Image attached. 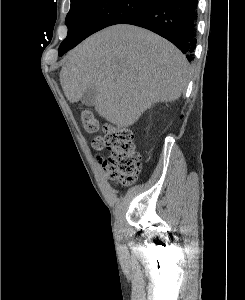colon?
<instances>
[{"instance_id":"1","label":"colon","mask_w":245,"mask_h":300,"mask_svg":"<svg viewBox=\"0 0 245 300\" xmlns=\"http://www.w3.org/2000/svg\"><path fill=\"white\" fill-rule=\"evenodd\" d=\"M84 129L90 134H96L99 129L98 120L90 113L82 114ZM103 135H96L92 140V148L100 151L110 150V156L103 160V166L108 176L123 186L133 184L140 173V155L135 150L133 134L127 129L115 128L106 124Z\"/></svg>"}]
</instances>
